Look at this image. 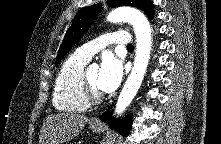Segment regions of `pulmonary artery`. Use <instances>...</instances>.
Returning <instances> with one entry per match:
<instances>
[{
	"label": "pulmonary artery",
	"instance_id": "obj_1",
	"mask_svg": "<svg viewBox=\"0 0 221 144\" xmlns=\"http://www.w3.org/2000/svg\"><path fill=\"white\" fill-rule=\"evenodd\" d=\"M130 41L131 37L126 31L110 32L82 45L75 53L89 61L97 52L109 44L128 45Z\"/></svg>",
	"mask_w": 221,
	"mask_h": 144
}]
</instances>
